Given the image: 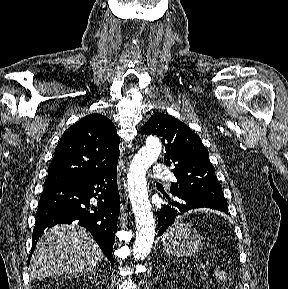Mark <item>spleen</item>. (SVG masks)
Returning <instances> with one entry per match:
<instances>
[{
	"label": "spleen",
	"mask_w": 288,
	"mask_h": 289,
	"mask_svg": "<svg viewBox=\"0 0 288 289\" xmlns=\"http://www.w3.org/2000/svg\"><path fill=\"white\" fill-rule=\"evenodd\" d=\"M190 224H184L183 222L179 221L176 222L169 230L164 234L163 239H167L175 234H178L182 231H186L190 228Z\"/></svg>",
	"instance_id": "spleen-1"
}]
</instances>
